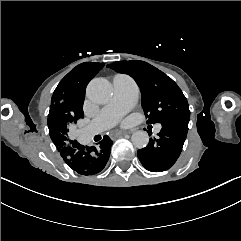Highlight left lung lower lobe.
I'll return each instance as SVG.
<instances>
[{
    "label": "left lung lower lobe",
    "instance_id": "1",
    "mask_svg": "<svg viewBox=\"0 0 241 241\" xmlns=\"http://www.w3.org/2000/svg\"><path fill=\"white\" fill-rule=\"evenodd\" d=\"M188 122L189 119H179L161 123L159 138H151L145 148L137 151L139 160L147 170L162 172L176 162L187 136Z\"/></svg>",
    "mask_w": 241,
    "mask_h": 241
}]
</instances>
